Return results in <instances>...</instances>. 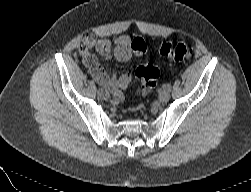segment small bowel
<instances>
[{"label":"small bowel","mask_w":251,"mask_h":192,"mask_svg":"<svg viewBox=\"0 0 251 192\" xmlns=\"http://www.w3.org/2000/svg\"><path fill=\"white\" fill-rule=\"evenodd\" d=\"M95 50L106 59L115 58L117 61L128 60L132 55H140L145 52L146 44L141 38L130 39L128 36H119L112 44L107 38H100L93 34H87L79 48L83 63L89 70L94 80L109 89L116 99L123 98L122 90L131 82V75L117 76L112 68L101 66L92 53Z\"/></svg>","instance_id":"c3829d8e"}]
</instances>
